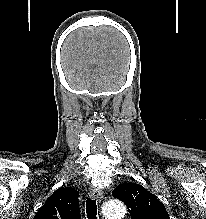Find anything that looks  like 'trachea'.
I'll use <instances>...</instances> for the list:
<instances>
[{
  "label": "trachea",
  "mask_w": 206,
  "mask_h": 219,
  "mask_svg": "<svg viewBox=\"0 0 206 219\" xmlns=\"http://www.w3.org/2000/svg\"><path fill=\"white\" fill-rule=\"evenodd\" d=\"M86 214H87L88 219H97L96 199L87 198V200H86Z\"/></svg>",
  "instance_id": "1"
}]
</instances>
